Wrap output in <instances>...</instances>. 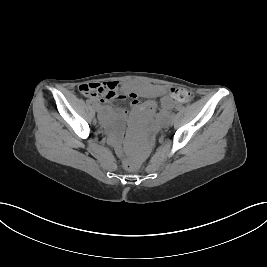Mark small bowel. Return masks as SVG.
<instances>
[{
    "instance_id": "obj_1",
    "label": "small bowel",
    "mask_w": 267,
    "mask_h": 267,
    "mask_svg": "<svg viewBox=\"0 0 267 267\" xmlns=\"http://www.w3.org/2000/svg\"><path fill=\"white\" fill-rule=\"evenodd\" d=\"M100 85L99 83H95ZM106 87L118 88V85L115 82L103 83ZM85 84L80 86V91L84 88ZM123 88L129 91L130 96L132 97V107L134 109L144 110L147 114L152 115L156 112L157 104L154 101L145 102L141 104L138 100V96L147 97V98H158L160 97V104L162 113L165 114L167 111L174 108L176 105V100L172 96L173 90L162 86V85H153L146 83H128L123 85ZM91 99L98 105L104 106L107 103V100L100 97H91ZM121 112H125L122 109H119Z\"/></svg>"
}]
</instances>
